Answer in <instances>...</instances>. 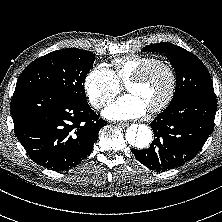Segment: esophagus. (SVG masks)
Here are the masks:
<instances>
[{
	"instance_id": "obj_1",
	"label": "esophagus",
	"mask_w": 222,
	"mask_h": 222,
	"mask_svg": "<svg viewBox=\"0 0 222 222\" xmlns=\"http://www.w3.org/2000/svg\"><path fill=\"white\" fill-rule=\"evenodd\" d=\"M118 126L120 128H126L128 126V124L127 123H118Z\"/></svg>"
}]
</instances>
